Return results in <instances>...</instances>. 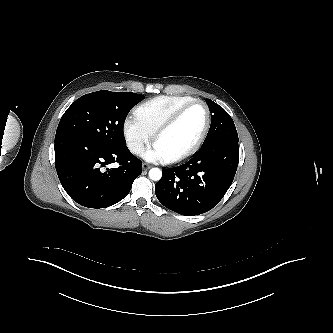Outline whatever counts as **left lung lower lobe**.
Wrapping results in <instances>:
<instances>
[{
	"label": "left lung lower lobe",
	"instance_id": "0a47b994",
	"mask_svg": "<svg viewBox=\"0 0 333 333\" xmlns=\"http://www.w3.org/2000/svg\"><path fill=\"white\" fill-rule=\"evenodd\" d=\"M239 161L238 141L223 140L202 147L187 163L162 169L155 185L168 209L193 216L215 207L232 184Z\"/></svg>",
	"mask_w": 333,
	"mask_h": 333
}]
</instances>
